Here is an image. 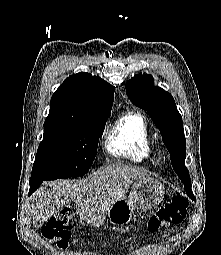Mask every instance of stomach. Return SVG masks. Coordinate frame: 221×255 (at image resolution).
Instances as JSON below:
<instances>
[{"mask_svg": "<svg viewBox=\"0 0 221 255\" xmlns=\"http://www.w3.org/2000/svg\"><path fill=\"white\" fill-rule=\"evenodd\" d=\"M165 188L156 179L142 177L135 181L128 197L117 200L109 209L107 216L111 224L124 226L130 223L134 211L151 210L164 198Z\"/></svg>", "mask_w": 221, "mask_h": 255, "instance_id": "stomach-1", "label": "stomach"}]
</instances>
